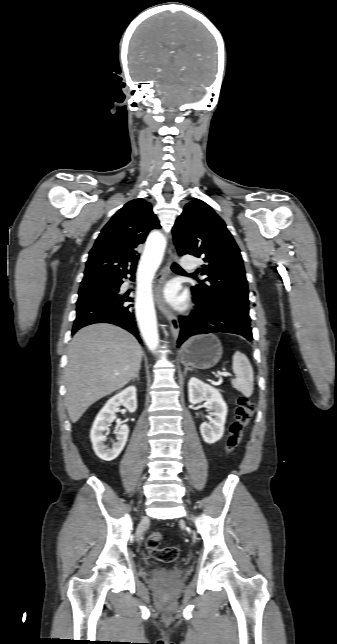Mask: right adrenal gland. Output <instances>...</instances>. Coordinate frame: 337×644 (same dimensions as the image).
Listing matches in <instances>:
<instances>
[{"instance_id": "2a0ac1e0", "label": "right adrenal gland", "mask_w": 337, "mask_h": 644, "mask_svg": "<svg viewBox=\"0 0 337 644\" xmlns=\"http://www.w3.org/2000/svg\"><path fill=\"white\" fill-rule=\"evenodd\" d=\"M135 380H138V381L140 380V378H139V371H138V372L136 373V375L132 378V381H135Z\"/></svg>"}]
</instances>
